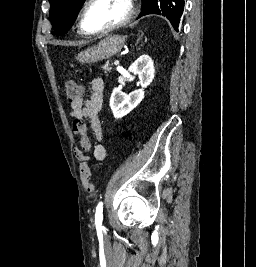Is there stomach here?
<instances>
[{
    "mask_svg": "<svg viewBox=\"0 0 256 267\" xmlns=\"http://www.w3.org/2000/svg\"><path fill=\"white\" fill-rule=\"evenodd\" d=\"M126 38L127 36H106L96 46H91L84 52H80L77 60L83 62V64H94V62H100V60H107V58L121 52Z\"/></svg>",
    "mask_w": 256,
    "mask_h": 267,
    "instance_id": "0dacf381",
    "label": "stomach"
}]
</instances>
